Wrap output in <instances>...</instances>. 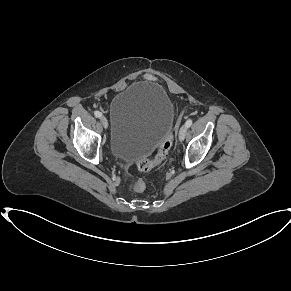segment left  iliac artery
<instances>
[{
  "label": "left iliac artery",
  "mask_w": 291,
  "mask_h": 291,
  "mask_svg": "<svg viewBox=\"0 0 291 291\" xmlns=\"http://www.w3.org/2000/svg\"><path fill=\"white\" fill-rule=\"evenodd\" d=\"M192 119H188L185 123V125L189 128L192 125Z\"/></svg>",
  "instance_id": "44dca946"
}]
</instances>
